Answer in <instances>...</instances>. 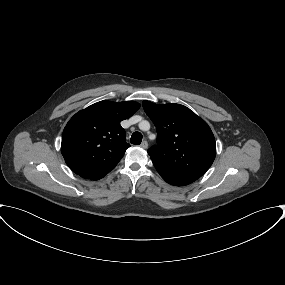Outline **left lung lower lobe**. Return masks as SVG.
<instances>
[{"label":"left lung lower lobe","instance_id":"left-lung-lower-lobe-1","mask_svg":"<svg viewBox=\"0 0 285 285\" xmlns=\"http://www.w3.org/2000/svg\"><path fill=\"white\" fill-rule=\"evenodd\" d=\"M158 173L169 184L175 186H184L196 181L199 177L179 170L166 169L156 163H153Z\"/></svg>","mask_w":285,"mask_h":285}]
</instances>
